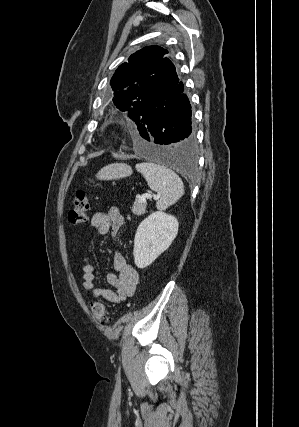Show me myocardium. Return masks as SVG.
<instances>
[{
	"mask_svg": "<svg viewBox=\"0 0 299 427\" xmlns=\"http://www.w3.org/2000/svg\"><path fill=\"white\" fill-rule=\"evenodd\" d=\"M105 134L111 140L116 139L120 134V128L117 124L111 123L107 125Z\"/></svg>",
	"mask_w": 299,
	"mask_h": 427,
	"instance_id": "f54148a6",
	"label": "myocardium"
}]
</instances>
